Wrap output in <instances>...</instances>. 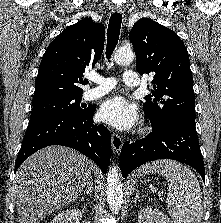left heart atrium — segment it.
Listing matches in <instances>:
<instances>
[{
    "label": "left heart atrium",
    "mask_w": 221,
    "mask_h": 223,
    "mask_svg": "<svg viewBox=\"0 0 221 223\" xmlns=\"http://www.w3.org/2000/svg\"><path fill=\"white\" fill-rule=\"evenodd\" d=\"M138 118L137 108L122 96L105 100L98 111V119L119 130L132 128Z\"/></svg>",
    "instance_id": "39dd6f15"
}]
</instances>
